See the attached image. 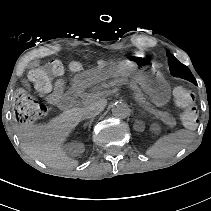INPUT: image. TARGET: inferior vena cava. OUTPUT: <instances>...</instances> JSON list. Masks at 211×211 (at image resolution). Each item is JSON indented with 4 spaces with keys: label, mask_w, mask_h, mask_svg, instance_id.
Listing matches in <instances>:
<instances>
[{
    "label": "inferior vena cava",
    "mask_w": 211,
    "mask_h": 211,
    "mask_svg": "<svg viewBox=\"0 0 211 211\" xmlns=\"http://www.w3.org/2000/svg\"><path fill=\"white\" fill-rule=\"evenodd\" d=\"M105 106L101 103V101H94L92 104L82 108L79 112L81 117L84 119H91L98 116L103 110Z\"/></svg>",
    "instance_id": "602c4592"
}]
</instances>
